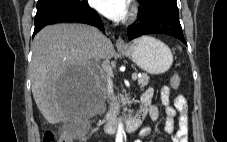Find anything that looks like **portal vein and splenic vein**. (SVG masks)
Returning a JSON list of instances; mask_svg holds the SVG:
<instances>
[{
	"instance_id": "portal-vein-and-splenic-vein-1",
	"label": "portal vein and splenic vein",
	"mask_w": 227,
	"mask_h": 142,
	"mask_svg": "<svg viewBox=\"0 0 227 142\" xmlns=\"http://www.w3.org/2000/svg\"><path fill=\"white\" fill-rule=\"evenodd\" d=\"M138 78V75L136 73L132 74V80L135 81Z\"/></svg>"
}]
</instances>
